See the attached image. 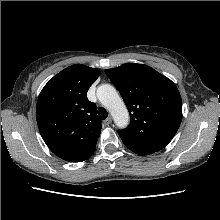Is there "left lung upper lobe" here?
Listing matches in <instances>:
<instances>
[{
	"label": "left lung upper lobe",
	"mask_w": 220,
	"mask_h": 220,
	"mask_svg": "<svg viewBox=\"0 0 220 220\" xmlns=\"http://www.w3.org/2000/svg\"><path fill=\"white\" fill-rule=\"evenodd\" d=\"M130 114V125L119 130L125 146L152 154L164 148L182 121V100L176 85L153 68L126 63L105 70Z\"/></svg>",
	"instance_id": "obj_1"
}]
</instances>
